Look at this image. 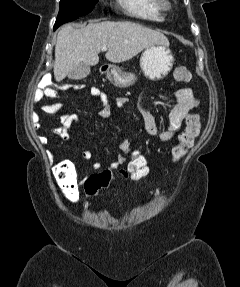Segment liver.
Segmentation results:
<instances>
[{
	"label": "liver",
	"mask_w": 240,
	"mask_h": 287,
	"mask_svg": "<svg viewBox=\"0 0 240 287\" xmlns=\"http://www.w3.org/2000/svg\"><path fill=\"white\" fill-rule=\"evenodd\" d=\"M156 44L169 45L168 38L159 31L130 21L90 23L80 29L64 25L58 32L55 45V80L65 79L80 63L97 65L98 54L104 46L108 48L106 59L120 63Z\"/></svg>",
	"instance_id": "1"
}]
</instances>
